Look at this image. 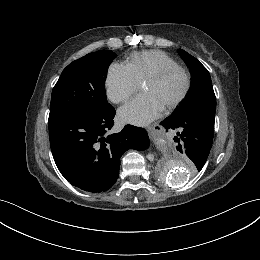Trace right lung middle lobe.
Masks as SVG:
<instances>
[{"instance_id":"right-lung-middle-lobe-1","label":"right lung middle lobe","mask_w":260,"mask_h":260,"mask_svg":"<svg viewBox=\"0 0 260 260\" xmlns=\"http://www.w3.org/2000/svg\"><path fill=\"white\" fill-rule=\"evenodd\" d=\"M115 54L89 53L70 63L53 88L49 120L65 116L93 117L112 106L107 102L105 80Z\"/></svg>"}]
</instances>
